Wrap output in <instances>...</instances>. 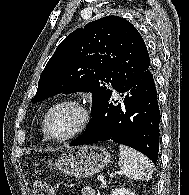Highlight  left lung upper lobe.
Segmentation results:
<instances>
[{
	"label": "left lung upper lobe",
	"instance_id": "obj_1",
	"mask_svg": "<svg viewBox=\"0 0 189 195\" xmlns=\"http://www.w3.org/2000/svg\"><path fill=\"white\" fill-rule=\"evenodd\" d=\"M149 66V54L137 29L119 16H106L76 29L60 43L31 101L61 92H91L93 116L113 94L106 84L116 89Z\"/></svg>",
	"mask_w": 189,
	"mask_h": 195
}]
</instances>
